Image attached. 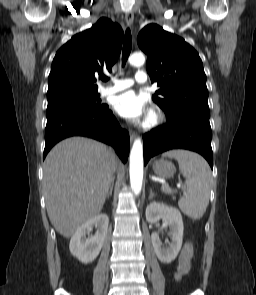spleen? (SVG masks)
I'll list each match as a JSON object with an SVG mask.
<instances>
[{
	"mask_svg": "<svg viewBox=\"0 0 256 295\" xmlns=\"http://www.w3.org/2000/svg\"><path fill=\"white\" fill-rule=\"evenodd\" d=\"M163 157L175 158L185 177L187 192L180 198L179 208L190 218L200 219L209 203L212 176L208 163L200 155L186 150H172ZM162 190L172 193L168 185H163Z\"/></svg>",
	"mask_w": 256,
	"mask_h": 295,
	"instance_id": "spleen-1",
	"label": "spleen"
}]
</instances>
